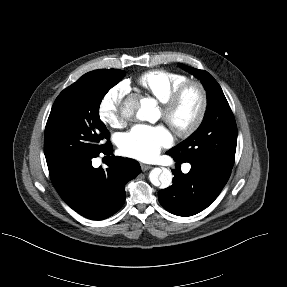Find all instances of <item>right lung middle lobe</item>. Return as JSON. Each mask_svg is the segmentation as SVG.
<instances>
[{
  "instance_id": "obj_1",
  "label": "right lung middle lobe",
  "mask_w": 287,
  "mask_h": 287,
  "mask_svg": "<svg viewBox=\"0 0 287 287\" xmlns=\"http://www.w3.org/2000/svg\"><path fill=\"white\" fill-rule=\"evenodd\" d=\"M124 75L115 69L91 71L59 94L45 127L48 168L100 152L109 143H104L109 131L99 118V106Z\"/></svg>"
}]
</instances>
